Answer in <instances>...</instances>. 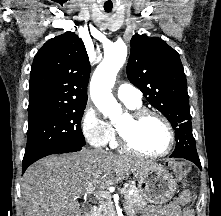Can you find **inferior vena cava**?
<instances>
[{
  "label": "inferior vena cava",
  "instance_id": "1",
  "mask_svg": "<svg viewBox=\"0 0 221 216\" xmlns=\"http://www.w3.org/2000/svg\"><path fill=\"white\" fill-rule=\"evenodd\" d=\"M95 151H97V152H101L102 150H99V149H98V150H95Z\"/></svg>",
  "mask_w": 221,
  "mask_h": 216
}]
</instances>
